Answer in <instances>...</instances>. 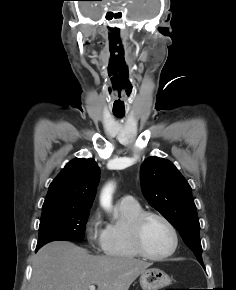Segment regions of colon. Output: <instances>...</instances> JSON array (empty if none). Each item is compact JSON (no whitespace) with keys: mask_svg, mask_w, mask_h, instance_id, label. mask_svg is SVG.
I'll list each match as a JSON object with an SVG mask.
<instances>
[{"mask_svg":"<svg viewBox=\"0 0 236 290\" xmlns=\"http://www.w3.org/2000/svg\"><path fill=\"white\" fill-rule=\"evenodd\" d=\"M165 290H177V289H170V288H166Z\"/></svg>","mask_w":236,"mask_h":290,"instance_id":"obj_1","label":"colon"}]
</instances>
